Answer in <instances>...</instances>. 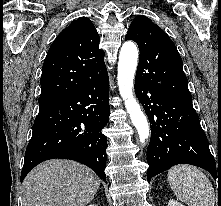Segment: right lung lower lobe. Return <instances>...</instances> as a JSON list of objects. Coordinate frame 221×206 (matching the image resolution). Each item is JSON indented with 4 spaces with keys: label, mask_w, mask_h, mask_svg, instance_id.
<instances>
[{
    "label": "right lung lower lobe",
    "mask_w": 221,
    "mask_h": 206,
    "mask_svg": "<svg viewBox=\"0 0 221 206\" xmlns=\"http://www.w3.org/2000/svg\"><path fill=\"white\" fill-rule=\"evenodd\" d=\"M109 115L107 73L74 93L40 105L25 153L21 182L36 165L54 158L83 163L106 181L108 144L101 131Z\"/></svg>",
    "instance_id": "right-lung-lower-lobe-1"
}]
</instances>
